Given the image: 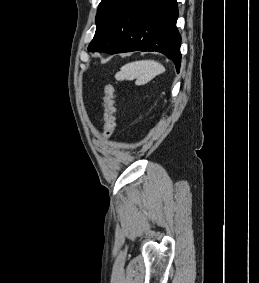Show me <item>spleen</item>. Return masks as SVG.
<instances>
[{
	"instance_id": "obj_1",
	"label": "spleen",
	"mask_w": 259,
	"mask_h": 283,
	"mask_svg": "<svg viewBox=\"0 0 259 283\" xmlns=\"http://www.w3.org/2000/svg\"><path fill=\"white\" fill-rule=\"evenodd\" d=\"M164 71V66L157 61L141 60L124 65L116 74V78L121 80L137 79L138 84H145Z\"/></svg>"
}]
</instances>
